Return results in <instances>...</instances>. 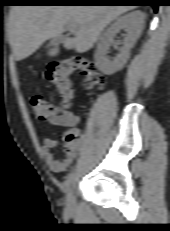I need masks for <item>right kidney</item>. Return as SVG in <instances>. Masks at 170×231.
<instances>
[{
    "label": "right kidney",
    "instance_id": "ca27d5eb",
    "mask_svg": "<svg viewBox=\"0 0 170 231\" xmlns=\"http://www.w3.org/2000/svg\"><path fill=\"white\" fill-rule=\"evenodd\" d=\"M143 27L144 13L141 11H133L116 19L99 39L95 53L97 68L105 75H112L121 70L129 58L131 48L140 37ZM122 29L126 31L123 46L120 48V53L111 59L107 57L109 47L112 44H118L114 42V37Z\"/></svg>",
    "mask_w": 170,
    "mask_h": 231
}]
</instances>
